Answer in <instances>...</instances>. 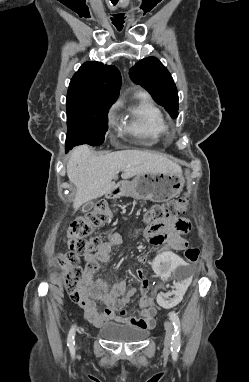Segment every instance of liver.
<instances>
[{
	"instance_id": "liver-1",
	"label": "liver",
	"mask_w": 249,
	"mask_h": 382,
	"mask_svg": "<svg viewBox=\"0 0 249 382\" xmlns=\"http://www.w3.org/2000/svg\"><path fill=\"white\" fill-rule=\"evenodd\" d=\"M122 172V179L142 173H181V167L167 157L143 150H123L97 156L88 145L76 147L67 163V176L76 188L73 208L110 193L113 179Z\"/></svg>"
}]
</instances>
